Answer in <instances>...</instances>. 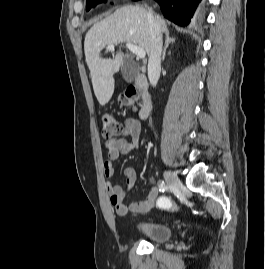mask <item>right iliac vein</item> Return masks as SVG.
I'll use <instances>...</instances> for the list:
<instances>
[{
	"label": "right iliac vein",
	"mask_w": 265,
	"mask_h": 269,
	"mask_svg": "<svg viewBox=\"0 0 265 269\" xmlns=\"http://www.w3.org/2000/svg\"><path fill=\"white\" fill-rule=\"evenodd\" d=\"M164 178L166 183L170 186V187H180L181 186V181L180 179L177 177V175L171 171H164Z\"/></svg>",
	"instance_id": "63e3f726"
}]
</instances>
